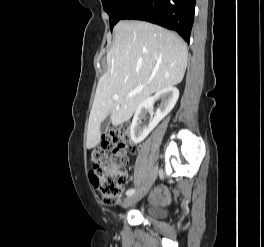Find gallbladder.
<instances>
[{"label": "gallbladder", "mask_w": 264, "mask_h": 247, "mask_svg": "<svg viewBox=\"0 0 264 247\" xmlns=\"http://www.w3.org/2000/svg\"><path fill=\"white\" fill-rule=\"evenodd\" d=\"M111 114H108L107 116L108 117H106V119H104V120H102L100 123H101V125H100V133H106V131H107V127L109 126V124L111 123V116H110Z\"/></svg>", "instance_id": "gallbladder-1"}]
</instances>
